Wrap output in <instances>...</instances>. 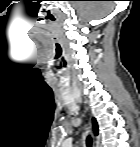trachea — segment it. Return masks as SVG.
<instances>
[{
  "instance_id": "1",
  "label": "trachea",
  "mask_w": 140,
  "mask_h": 147,
  "mask_svg": "<svg viewBox=\"0 0 140 147\" xmlns=\"http://www.w3.org/2000/svg\"><path fill=\"white\" fill-rule=\"evenodd\" d=\"M86 144H87V147L92 146V138L90 136L87 137Z\"/></svg>"
}]
</instances>
